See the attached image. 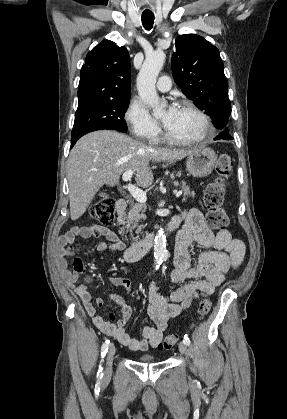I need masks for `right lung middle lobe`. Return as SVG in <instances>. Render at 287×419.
Masks as SVG:
<instances>
[{
  "label": "right lung middle lobe",
  "instance_id": "1",
  "mask_svg": "<svg viewBox=\"0 0 287 419\" xmlns=\"http://www.w3.org/2000/svg\"><path fill=\"white\" fill-rule=\"evenodd\" d=\"M129 99L106 101L82 109H77L71 132V144L83 135L96 130H117L126 133L124 115Z\"/></svg>",
  "mask_w": 287,
  "mask_h": 419
}]
</instances>
